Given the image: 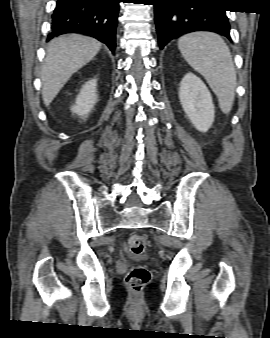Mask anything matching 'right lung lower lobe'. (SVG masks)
<instances>
[{"label": "right lung lower lobe", "instance_id": "obj_1", "mask_svg": "<svg viewBox=\"0 0 270 338\" xmlns=\"http://www.w3.org/2000/svg\"><path fill=\"white\" fill-rule=\"evenodd\" d=\"M120 0H57L47 40L81 33L105 43L114 53Z\"/></svg>", "mask_w": 270, "mask_h": 338}]
</instances>
